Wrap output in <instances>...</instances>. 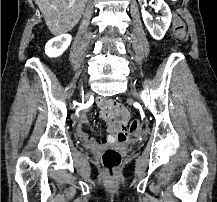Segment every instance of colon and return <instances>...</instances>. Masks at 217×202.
Here are the masks:
<instances>
[{"instance_id": "1", "label": "colon", "mask_w": 217, "mask_h": 202, "mask_svg": "<svg viewBox=\"0 0 217 202\" xmlns=\"http://www.w3.org/2000/svg\"><path fill=\"white\" fill-rule=\"evenodd\" d=\"M173 34L180 41H186L188 38L186 24L182 17L176 15L173 20ZM138 120L133 119L130 124V132L133 135H138L139 131L136 130L138 128ZM102 162L107 169V173L109 177H116V170L121 163V154L118 150L114 148H108L104 151L102 155Z\"/></svg>"}]
</instances>
